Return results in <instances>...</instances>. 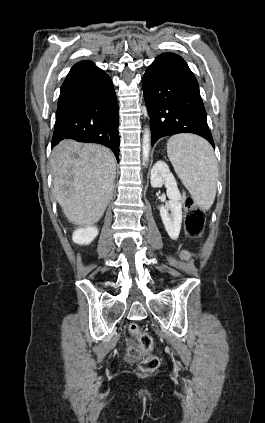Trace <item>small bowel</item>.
I'll return each instance as SVG.
<instances>
[{
  "instance_id": "c3829d8e",
  "label": "small bowel",
  "mask_w": 265,
  "mask_h": 423,
  "mask_svg": "<svg viewBox=\"0 0 265 423\" xmlns=\"http://www.w3.org/2000/svg\"><path fill=\"white\" fill-rule=\"evenodd\" d=\"M179 255L181 256V258H183V259H185V260H188V259H190L191 257H192V253H190L189 251H187V250H181L180 252H179ZM131 347V346H130ZM134 350H132V352H133Z\"/></svg>"
}]
</instances>
